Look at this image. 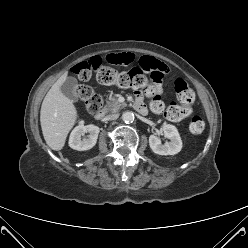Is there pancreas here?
<instances>
[{"instance_id": "obj_1", "label": "pancreas", "mask_w": 248, "mask_h": 248, "mask_svg": "<svg viewBox=\"0 0 248 248\" xmlns=\"http://www.w3.org/2000/svg\"><path fill=\"white\" fill-rule=\"evenodd\" d=\"M126 104H120L116 98H112L109 102L106 103L104 110L106 112H118Z\"/></svg>"}]
</instances>
